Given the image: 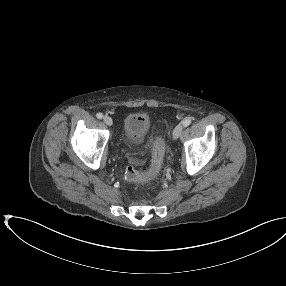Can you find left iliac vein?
Masks as SVG:
<instances>
[{
  "mask_svg": "<svg viewBox=\"0 0 286 286\" xmlns=\"http://www.w3.org/2000/svg\"><path fill=\"white\" fill-rule=\"evenodd\" d=\"M182 131H183V125L181 124L177 125L173 130V139L179 138L180 135L182 134Z\"/></svg>",
  "mask_w": 286,
  "mask_h": 286,
  "instance_id": "left-iliac-vein-1",
  "label": "left iliac vein"
}]
</instances>
